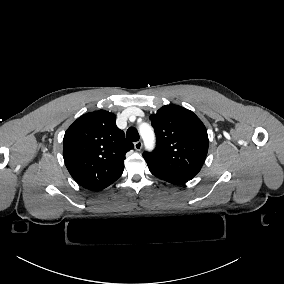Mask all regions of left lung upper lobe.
<instances>
[{
    "label": "left lung upper lobe",
    "mask_w": 284,
    "mask_h": 284,
    "mask_svg": "<svg viewBox=\"0 0 284 284\" xmlns=\"http://www.w3.org/2000/svg\"><path fill=\"white\" fill-rule=\"evenodd\" d=\"M157 136L152 153H143L151 172L191 180L201 170L208 152V134L190 110L166 105L150 116Z\"/></svg>",
    "instance_id": "left-lung-upper-lobe-1"
}]
</instances>
